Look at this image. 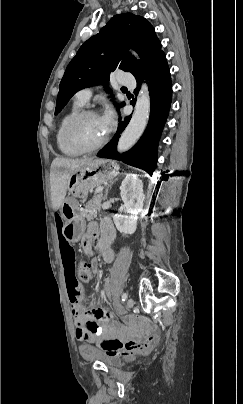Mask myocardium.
Returning <instances> with one entry per match:
<instances>
[{"label":"myocardium","mask_w":243,"mask_h":404,"mask_svg":"<svg viewBox=\"0 0 243 404\" xmlns=\"http://www.w3.org/2000/svg\"><path fill=\"white\" fill-rule=\"evenodd\" d=\"M76 97V95H75ZM88 116L98 117L96 111L91 109H80L76 113H74L64 124L62 129V137L63 140L69 144L70 146L82 151V152H94L100 148H102L108 141V137L105 136L100 142L93 146H88L77 140L73 134L72 129L76 123Z\"/></svg>","instance_id":"myocardium-1"}]
</instances>
